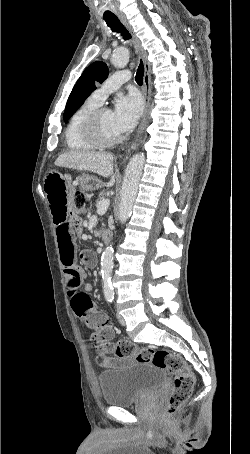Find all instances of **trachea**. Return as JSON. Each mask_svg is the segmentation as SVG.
<instances>
[{"label":"trachea","mask_w":250,"mask_h":454,"mask_svg":"<svg viewBox=\"0 0 250 454\" xmlns=\"http://www.w3.org/2000/svg\"><path fill=\"white\" fill-rule=\"evenodd\" d=\"M104 20L106 21L107 25L111 28L113 32L120 33L123 39L128 40L131 39V34L128 30L124 27V25L119 21V19L112 15V16H104ZM143 76H144V65L142 60H140V64L137 69V73L135 76V80L139 85L143 83Z\"/></svg>","instance_id":"3493384b"}]
</instances>
